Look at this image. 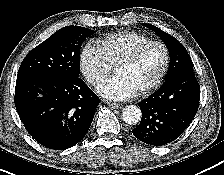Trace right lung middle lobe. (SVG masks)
Instances as JSON below:
<instances>
[{"label": "right lung middle lobe", "mask_w": 224, "mask_h": 175, "mask_svg": "<svg viewBox=\"0 0 224 175\" xmlns=\"http://www.w3.org/2000/svg\"><path fill=\"white\" fill-rule=\"evenodd\" d=\"M93 34V30L80 26L59 29L27 54L20 65L18 75L78 78L81 44Z\"/></svg>", "instance_id": "obj_1"}]
</instances>
